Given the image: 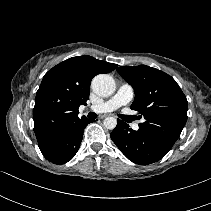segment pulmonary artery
Returning <instances> with one entry per match:
<instances>
[{"label":"pulmonary artery","instance_id":"obj_1","mask_svg":"<svg viewBox=\"0 0 211 211\" xmlns=\"http://www.w3.org/2000/svg\"><path fill=\"white\" fill-rule=\"evenodd\" d=\"M134 97V90L133 87L130 84H122L114 96H112L107 101L91 106L90 109L97 113H103V112H111L116 110L117 108L124 106L128 104ZM134 130L139 129V125L135 124L133 126Z\"/></svg>","mask_w":211,"mask_h":211}]
</instances>
